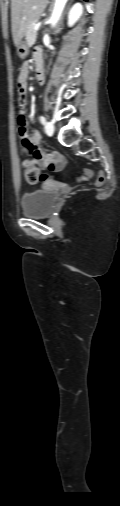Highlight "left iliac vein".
I'll return each mask as SVG.
<instances>
[{
	"label": "left iliac vein",
	"mask_w": 120,
	"mask_h": 506,
	"mask_svg": "<svg viewBox=\"0 0 120 506\" xmlns=\"http://www.w3.org/2000/svg\"><path fill=\"white\" fill-rule=\"evenodd\" d=\"M45 131L46 133L51 136L54 132V125L52 122H47L45 125Z\"/></svg>",
	"instance_id": "obj_1"
}]
</instances>
